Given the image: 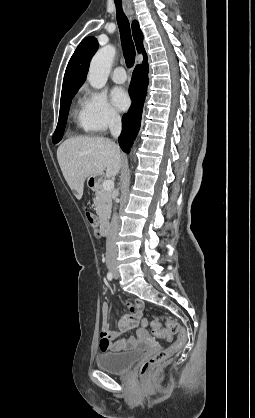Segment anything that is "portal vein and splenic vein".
I'll use <instances>...</instances> for the list:
<instances>
[{"label":"portal vein and splenic vein","mask_w":255,"mask_h":418,"mask_svg":"<svg viewBox=\"0 0 255 418\" xmlns=\"http://www.w3.org/2000/svg\"><path fill=\"white\" fill-rule=\"evenodd\" d=\"M102 186H103L104 190H107V191L112 190L114 188V181L113 180H105L102 183Z\"/></svg>","instance_id":"18ae733b"}]
</instances>
